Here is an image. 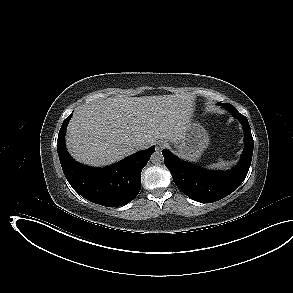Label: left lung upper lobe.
Listing matches in <instances>:
<instances>
[{
    "label": "left lung upper lobe",
    "mask_w": 293,
    "mask_h": 293,
    "mask_svg": "<svg viewBox=\"0 0 293 293\" xmlns=\"http://www.w3.org/2000/svg\"><path fill=\"white\" fill-rule=\"evenodd\" d=\"M218 104L223 105V107H225L227 110H229L233 116H236V117L243 116L229 103H218Z\"/></svg>",
    "instance_id": "left-lung-upper-lobe-1"
}]
</instances>
